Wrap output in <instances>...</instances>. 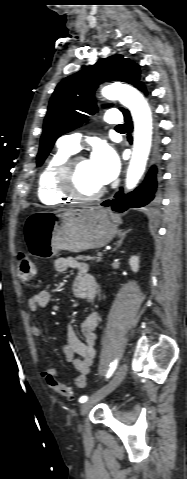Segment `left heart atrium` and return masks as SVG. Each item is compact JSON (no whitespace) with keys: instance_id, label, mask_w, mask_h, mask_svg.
Wrapping results in <instances>:
<instances>
[{"instance_id":"1","label":"left heart atrium","mask_w":187,"mask_h":479,"mask_svg":"<svg viewBox=\"0 0 187 479\" xmlns=\"http://www.w3.org/2000/svg\"><path fill=\"white\" fill-rule=\"evenodd\" d=\"M90 163L97 180L102 185L111 182L118 175L120 169L116 152L103 142L94 146Z\"/></svg>"}]
</instances>
